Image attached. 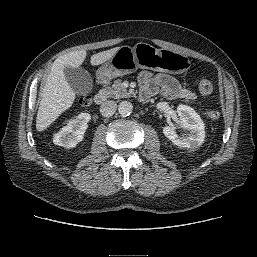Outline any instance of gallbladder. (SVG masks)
I'll list each match as a JSON object with an SVG mask.
<instances>
[{
	"mask_svg": "<svg viewBox=\"0 0 257 257\" xmlns=\"http://www.w3.org/2000/svg\"><path fill=\"white\" fill-rule=\"evenodd\" d=\"M64 74L68 84L77 95H85L91 91L92 78L85 69L66 67Z\"/></svg>",
	"mask_w": 257,
	"mask_h": 257,
	"instance_id": "obj_1",
	"label": "gallbladder"
}]
</instances>
